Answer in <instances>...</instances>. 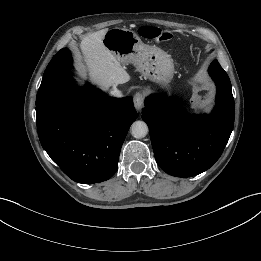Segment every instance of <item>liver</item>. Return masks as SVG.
Segmentation results:
<instances>
[{
    "instance_id": "1",
    "label": "liver",
    "mask_w": 261,
    "mask_h": 261,
    "mask_svg": "<svg viewBox=\"0 0 261 261\" xmlns=\"http://www.w3.org/2000/svg\"><path fill=\"white\" fill-rule=\"evenodd\" d=\"M107 31L103 29L89 34L80 43L85 61L83 68L88 70L91 80L104 90L126 83L131 78L116 57L104 46L102 40Z\"/></svg>"
}]
</instances>
